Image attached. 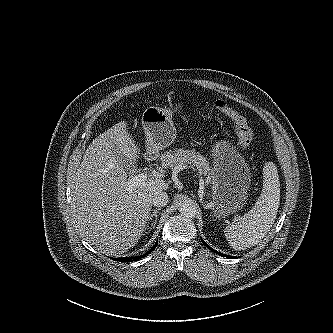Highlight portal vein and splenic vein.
I'll use <instances>...</instances> for the list:
<instances>
[{
	"label": "portal vein and splenic vein",
	"instance_id": "18ae733b",
	"mask_svg": "<svg viewBox=\"0 0 333 333\" xmlns=\"http://www.w3.org/2000/svg\"><path fill=\"white\" fill-rule=\"evenodd\" d=\"M148 177H149L148 174H146V173H141V174H138V175L133 176V177L129 180V183H130L132 186H135V185H138L139 183L145 181Z\"/></svg>",
	"mask_w": 333,
	"mask_h": 333
}]
</instances>
